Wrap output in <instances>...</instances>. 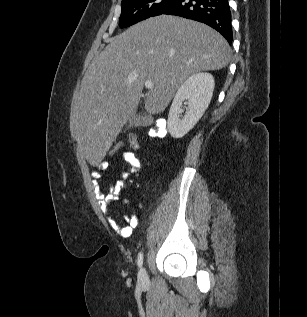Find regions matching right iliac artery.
I'll use <instances>...</instances> for the list:
<instances>
[{
	"instance_id": "obj_1",
	"label": "right iliac artery",
	"mask_w": 307,
	"mask_h": 317,
	"mask_svg": "<svg viewBox=\"0 0 307 317\" xmlns=\"http://www.w3.org/2000/svg\"><path fill=\"white\" fill-rule=\"evenodd\" d=\"M137 263H138V266L141 268L142 265H143V253H142V252H140V253L138 254V261H137Z\"/></svg>"
}]
</instances>
